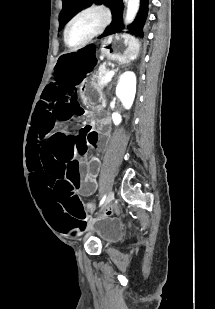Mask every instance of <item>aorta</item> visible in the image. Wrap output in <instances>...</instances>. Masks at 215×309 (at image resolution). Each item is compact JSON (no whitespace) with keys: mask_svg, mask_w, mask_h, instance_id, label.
I'll return each mask as SVG.
<instances>
[{"mask_svg":"<svg viewBox=\"0 0 215 309\" xmlns=\"http://www.w3.org/2000/svg\"><path fill=\"white\" fill-rule=\"evenodd\" d=\"M139 4L140 0H128L127 12L125 16L126 24H129V22H132V20H134L138 12Z\"/></svg>","mask_w":215,"mask_h":309,"instance_id":"aorta-1","label":"aorta"}]
</instances>
